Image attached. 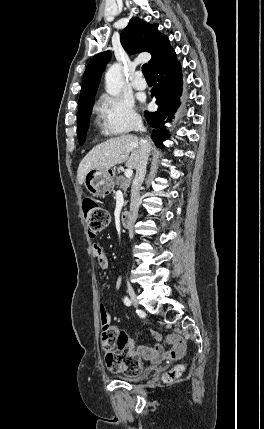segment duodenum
I'll list each match as a JSON object with an SVG mask.
<instances>
[{"label":"duodenum","instance_id":"obj_1","mask_svg":"<svg viewBox=\"0 0 264 429\" xmlns=\"http://www.w3.org/2000/svg\"><path fill=\"white\" fill-rule=\"evenodd\" d=\"M132 213L130 211H123L120 215V222L122 226L129 227L130 221H132Z\"/></svg>","mask_w":264,"mask_h":429}]
</instances>
